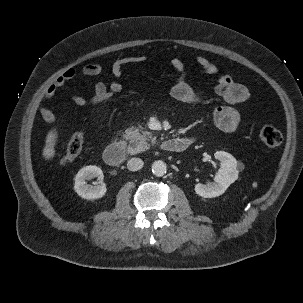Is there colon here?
I'll return each instance as SVG.
<instances>
[{
	"label": "colon",
	"instance_id": "colon-1",
	"mask_svg": "<svg viewBox=\"0 0 303 303\" xmlns=\"http://www.w3.org/2000/svg\"><path fill=\"white\" fill-rule=\"evenodd\" d=\"M113 94L106 92L100 98L91 100L90 103L99 105L106 102ZM258 135L261 141L271 149H277L283 142L282 133L273 126L262 125L258 128ZM84 143V132L76 131L69 139L65 151L60 156V162L67 164L73 161L81 153Z\"/></svg>",
	"mask_w": 303,
	"mask_h": 303
}]
</instances>
